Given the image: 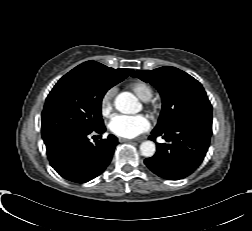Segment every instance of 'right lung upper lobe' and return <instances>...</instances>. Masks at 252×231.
<instances>
[{
	"label": "right lung upper lobe",
	"mask_w": 252,
	"mask_h": 231,
	"mask_svg": "<svg viewBox=\"0 0 252 231\" xmlns=\"http://www.w3.org/2000/svg\"><path fill=\"white\" fill-rule=\"evenodd\" d=\"M95 64H100V63L95 62V61H87V62H84V63H82L80 65L81 66H86V65H95ZM100 65H102V64H100ZM109 71L111 72V74L114 77L124 80L128 75H130V73L133 70L132 69H113V68H109Z\"/></svg>",
	"instance_id": "obj_1"
}]
</instances>
